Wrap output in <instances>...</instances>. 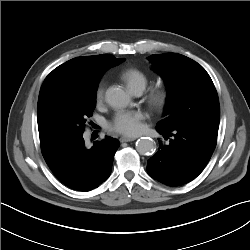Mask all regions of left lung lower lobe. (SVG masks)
Returning <instances> with one entry per match:
<instances>
[{"label":"left lung lower lobe","instance_id":"1","mask_svg":"<svg viewBox=\"0 0 250 250\" xmlns=\"http://www.w3.org/2000/svg\"><path fill=\"white\" fill-rule=\"evenodd\" d=\"M219 120L189 124L174 131L156 128L170 142L159 141L158 152L148 160L149 175L169 186H180L196 178L216 147Z\"/></svg>","mask_w":250,"mask_h":250}]
</instances>
